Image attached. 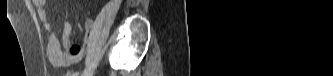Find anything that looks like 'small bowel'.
Returning a JSON list of instances; mask_svg holds the SVG:
<instances>
[{
	"instance_id": "1",
	"label": "small bowel",
	"mask_w": 333,
	"mask_h": 76,
	"mask_svg": "<svg viewBox=\"0 0 333 76\" xmlns=\"http://www.w3.org/2000/svg\"><path fill=\"white\" fill-rule=\"evenodd\" d=\"M32 2L37 8L38 18L44 23L45 29L51 32L52 26L49 22V13L46 8V1L33 0ZM92 25V19L86 18L84 23L86 32L84 43L77 45L69 40L71 37L70 25L65 23L63 25V35L67 44V50L65 51L61 48L59 38L54 33H51L47 40V54L50 62L56 67H67L78 62L84 53L86 45L89 42Z\"/></svg>"
}]
</instances>
